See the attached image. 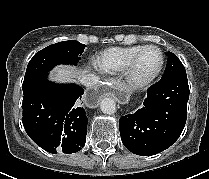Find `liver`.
I'll list each match as a JSON object with an SVG mask.
<instances>
[{"label":"liver","mask_w":209,"mask_h":179,"mask_svg":"<svg viewBox=\"0 0 209 179\" xmlns=\"http://www.w3.org/2000/svg\"><path fill=\"white\" fill-rule=\"evenodd\" d=\"M87 70H79L69 66H57L51 73V79L56 82L65 83L75 79H81Z\"/></svg>","instance_id":"liver-1"}]
</instances>
